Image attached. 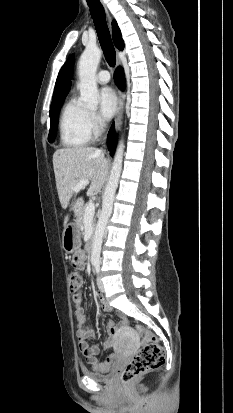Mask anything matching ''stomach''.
<instances>
[{"instance_id": "1", "label": "stomach", "mask_w": 233, "mask_h": 413, "mask_svg": "<svg viewBox=\"0 0 233 413\" xmlns=\"http://www.w3.org/2000/svg\"><path fill=\"white\" fill-rule=\"evenodd\" d=\"M80 228L75 223L69 224L63 232L62 245L67 253L75 252L79 247Z\"/></svg>"}]
</instances>
